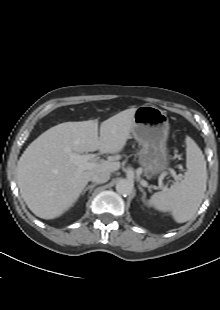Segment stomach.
<instances>
[{
    "instance_id": "1",
    "label": "stomach",
    "mask_w": 220,
    "mask_h": 310,
    "mask_svg": "<svg viewBox=\"0 0 220 310\" xmlns=\"http://www.w3.org/2000/svg\"><path fill=\"white\" fill-rule=\"evenodd\" d=\"M131 133L141 145L138 152L140 165L152 176L163 174L170 164L167 148L169 120L164 111L152 105L137 107Z\"/></svg>"
}]
</instances>
